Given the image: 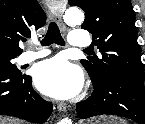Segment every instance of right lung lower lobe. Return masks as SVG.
<instances>
[{"instance_id": "right-lung-lower-lobe-1", "label": "right lung lower lobe", "mask_w": 145, "mask_h": 124, "mask_svg": "<svg viewBox=\"0 0 145 124\" xmlns=\"http://www.w3.org/2000/svg\"><path fill=\"white\" fill-rule=\"evenodd\" d=\"M52 113V104L32 88L31 77L0 67V115L44 123Z\"/></svg>"}]
</instances>
